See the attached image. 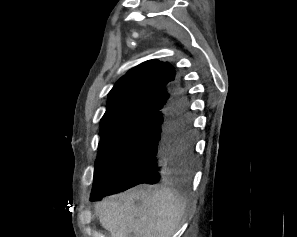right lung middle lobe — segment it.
I'll use <instances>...</instances> for the list:
<instances>
[{"label": "right lung middle lobe", "mask_w": 297, "mask_h": 237, "mask_svg": "<svg viewBox=\"0 0 297 237\" xmlns=\"http://www.w3.org/2000/svg\"><path fill=\"white\" fill-rule=\"evenodd\" d=\"M150 118L137 115L101 125L91 196L117 183L120 168L146 129Z\"/></svg>", "instance_id": "1"}]
</instances>
